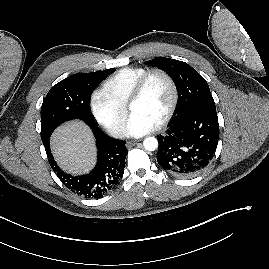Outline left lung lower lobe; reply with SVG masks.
I'll use <instances>...</instances> for the list:
<instances>
[{
	"label": "left lung lower lobe",
	"instance_id": "0a47b994",
	"mask_svg": "<svg viewBox=\"0 0 269 269\" xmlns=\"http://www.w3.org/2000/svg\"><path fill=\"white\" fill-rule=\"evenodd\" d=\"M158 164L170 175L190 178L214 157L219 123L216 109H198L175 120L165 136H158Z\"/></svg>",
	"mask_w": 269,
	"mask_h": 269
}]
</instances>
